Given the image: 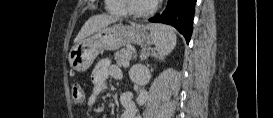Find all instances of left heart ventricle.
Segmentation results:
<instances>
[{
	"instance_id": "obj_1",
	"label": "left heart ventricle",
	"mask_w": 273,
	"mask_h": 118,
	"mask_svg": "<svg viewBox=\"0 0 273 118\" xmlns=\"http://www.w3.org/2000/svg\"><path fill=\"white\" fill-rule=\"evenodd\" d=\"M151 2L149 0H133V8L138 11H143L149 8Z\"/></svg>"
}]
</instances>
